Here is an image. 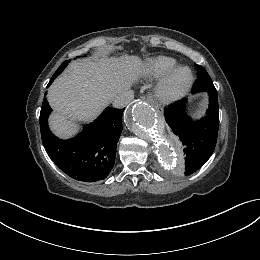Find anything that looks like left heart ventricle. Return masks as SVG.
I'll list each match as a JSON object with an SVG mask.
<instances>
[{"label":"left heart ventricle","mask_w":260,"mask_h":260,"mask_svg":"<svg viewBox=\"0 0 260 260\" xmlns=\"http://www.w3.org/2000/svg\"><path fill=\"white\" fill-rule=\"evenodd\" d=\"M189 78V73L187 70H180L174 77V82L176 84H184Z\"/></svg>","instance_id":"obj_1"}]
</instances>
